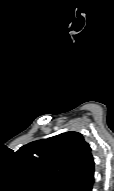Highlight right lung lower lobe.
<instances>
[{
    "mask_svg": "<svg viewBox=\"0 0 114 191\" xmlns=\"http://www.w3.org/2000/svg\"><path fill=\"white\" fill-rule=\"evenodd\" d=\"M94 184V172L81 177H75L57 187V191H92Z\"/></svg>",
    "mask_w": 114,
    "mask_h": 191,
    "instance_id": "right-lung-lower-lobe-1",
    "label": "right lung lower lobe"
}]
</instances>
